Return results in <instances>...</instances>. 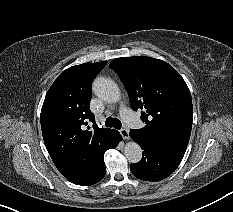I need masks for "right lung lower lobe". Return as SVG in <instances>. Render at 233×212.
<instances>
[{
    "label": "right lung lower lobe",
    "instance_id": "1",
    "mask_svg": "<svg viewBox=\"0 0 233 212\" xmlns=\"http://www.w3.org/2000/svg\"><path fill=\"white\" fill-rule=\"evenodd\" d=\"M121 140H122V137L120 133L114 130L109 136V138L107 139L105 145L103 146L99 154L98 162H97V165L95 167L93 174L90 177H88L86 180H84L83 182L79 183L78 185H83V186L92 185V184L99 182L105 176L106 169H105V163H104V153L110 148L117 147L118 143Z\"/></svg>",
    "mask_w": 233,
    "mask_h": 212
}]
</instances>
